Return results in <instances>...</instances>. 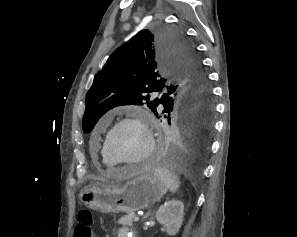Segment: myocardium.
<instances>
[{
    "label": "myocardium",
    "instance_id": "myocardium-1",
    "mask_svg": "<svg viewBox=\"0 0 297 237\" xmlns=\"http://www.w3.org/2000/svg\"><path fill=\"white\" fill-rule=\"evenodd\" d=\"M127 123H133L138 125L145 134L146 137V149L145 152L137 159L133 160H125L118 158L110 149V140L114 132L122 125ZM104 148L109 157L117 164V165H135L144 163L149 160L155 153L156 150V139L153 132V128L151 126L149 116L141 113L129 115L119 119L107 132L105 141H104Z\"/></svg>",
    "mask_w": 297,
    "mask_h": 237
}]
</instances>
